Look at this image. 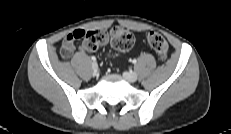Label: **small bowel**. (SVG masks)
<instances>
[{
    "label": "small bowel",
    "instance_id": "1",
    "mask_svg": "<svg viewBox=\"0 0 231 134\" xmlns=\"http://www.w3.org/2000/svg\"><path fill=\"white\" fill-rule=\"evenodd\" d=\"M74 32V31H73ZM73 32L72 33H70V34H68L65 38H64V40H63V42H62V46H61V56L63 57V58H69L72 54H73V52H74V50H75V45H74V41L76 40L74 37H73ZM80 50L81 51H84V52H86V51H89V49L85 46V45H82L81 47H80Z\"/></svg>",
    "mask_w": 231,
    "mask_h": 134
}]
</instances>
